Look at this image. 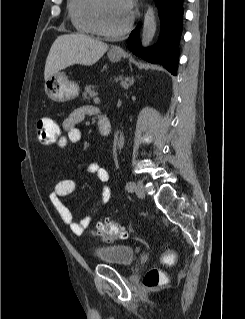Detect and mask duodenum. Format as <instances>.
<instances>
[{
	"mask_svg": "<svg viewBox=\"0 0 245 319\" xmlns=\"http://www.w3.org/2000/svg\"><path fill=\"white\" fill-rule=\"evenodd\" d=\"M98 128L102 136H108L111 133V122L106 115L99 116Z\"/></svg>",
	"mask_w": 245,
	"mask_h": 319,
	"instance_id": "1",
	"label": "duodenum"
}]
</instances>
